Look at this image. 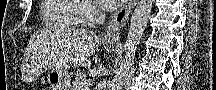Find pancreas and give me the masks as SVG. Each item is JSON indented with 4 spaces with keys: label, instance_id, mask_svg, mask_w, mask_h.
Here are the masks:
<instances>
[{
    "label": "pancreas",
    "instance_id": "1",
    "mask_svg": "<svg viewBox=\"0 0 216 90\" xmlns=\"http://www.w3.org/2000/svg\"><path fill=\"white\" fill-rule=\"evenodd\" d=\"M85 78V74H81V72H78V74H75V78H73V84H75V86H79L80 80H85Z\"/></svg>",
    "mask_w": 216,
    "mask_h": 90
}]
</instances>
